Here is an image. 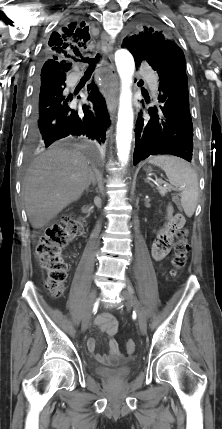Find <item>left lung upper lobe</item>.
Here are the masks:
<instances>
[{
    "label": "left lung upper lobe",
    "mask_w": 222,
    "mask_h": 429,
    "mask_svg": "<svg viewBox=\"0 0 222 429\" xmlns=\"http://www.w3.org/2000/svg\"><path fill=\"white\" fill-rule=\"evenodd\" d=\"M169 41L173 40L164 32L150 26L140 25L135 32L131 33L127 38L124 39L123 43L130 52L135 51L136 55L140 54L142 58L153 61L156 59L160 49H167L171 47ZM173 42L176 45L178 51L181 53L182 59L185 62L183 51L175 41Z\"/></svg>",
    "instance_id": "5c2ea615"
}]
</instances>
